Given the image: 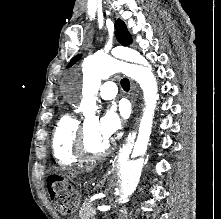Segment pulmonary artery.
<instances>
[{"label":"pulmonary artery","instance_id":"obj_1","mask_svg":"<svg viewBox=\"0 0 221 219\" xmlns=\"http://www.w3.org/2000/svg\"><path fill=\"white\" fill-rule=\"evenodd\" d=\"M99 95L105 100L113 99L117 95V86L114 83L107 81L100 88Z\"/></svg>","mask_w":221,"mask_h":219}]
</instances>
